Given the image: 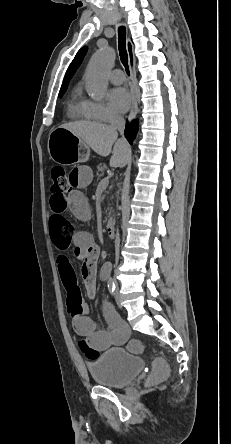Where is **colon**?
Instances as JSON below:
<instances>
[{"instance_id":"colon-1","label":"colon","mask_w":231,"mask_h":444,"mask_svg":"<svg viewBox=\"0 0 231 444\" xmlns=\"http://www.w3.org/2000/svg\"><path fill=\"white\" fill-rule=\"evenodd\" d=\"M70 191V185L68 182V175L62 166H54L51 169V193L52 196L63 198ZM81 351L84 355L92 360L99 356L98 350L90 347L85 340L79 343ZM131 349L135 352H140L142 346L140 342L133 341L131 343ZM167 374V366L162 358H157L153 362L152 371L150 375V381H158L163 379Z\"/></svg>"}]
</instances>
